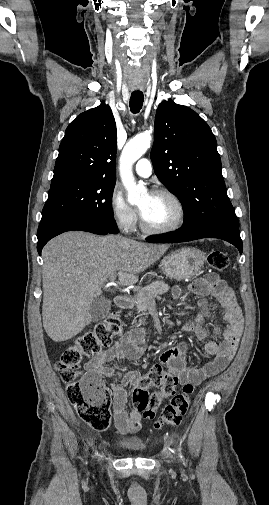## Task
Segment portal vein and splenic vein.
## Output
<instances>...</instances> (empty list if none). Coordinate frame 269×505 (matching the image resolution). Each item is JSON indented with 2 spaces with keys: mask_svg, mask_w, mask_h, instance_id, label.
Instances as JSON below:
<instances>
[{
  "mask_svg": "<svg viewBox=\"0 0 269 505\" xmlns=\"http://www.w3.org/2000/svg\"><path fill=\"white\" fill-rule=\"evenodd\" d=\"M114 280H115V278H112V280H111L112 282L110 283V285H115V284L113 283V281H114Z\"/></svg>",
  "mask_w": 269,
  "mask_h": 505,
  "instance_id": "1",
  "label": "portal vein and splenic vein"
}]
</instances>
